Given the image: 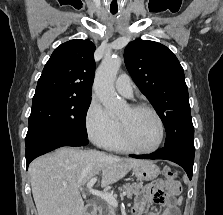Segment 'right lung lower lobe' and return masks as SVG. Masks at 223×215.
I'll use <instances>...</instances> for the list:
<instances>
[{
    "instance_id": "98d812e1",
    "label": "right lung lower lobe",
    "mask_w": 223,
    "mask_h": 215,
    "mask_svg": "<svg viewBox=\"0 0 223 215\" xmlns=\"http://www.w3.org/2000/svg\"><path fill=\"white\" fill-rule=\"evenodd\" d=\"M89 143L87 138L79 137H53L40 139L26 144V164L29 163L36 157L50 152L56 148L63 146H85Z\"/></svg>"
}]
</instances>
